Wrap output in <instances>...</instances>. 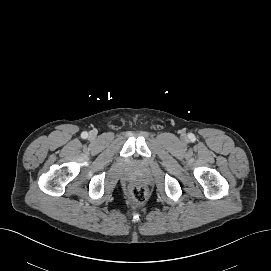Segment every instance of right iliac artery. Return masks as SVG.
Wrapping results in <instances>:
<instances>
[{
	"mask_svg": "<svg viewBox=\"0 0 271 271\" xmlns=\"http://www.w3.org/2000/svg\"><path fill=\"white\" fill-rule=\"evenodd\" d=\"M81 137L84 138V139H86L88 137V133L87 132H83L81 134Z\"/></svg>",
	"mask_w": 271,
	"mask_h": 271,
	"instance_id": "82829eb1",
	"label": "right iliac artery"
}]
</instances>
